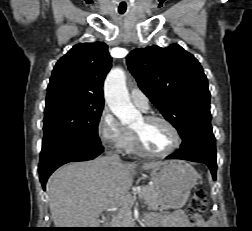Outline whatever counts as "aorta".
<instances>
[{
  "label": "aorta",
  "instance_id": "762f6f07",
  "mask_svg": "<svg viewBox=\"0 0 252 231\" xmlns=\"http://www.w3.org/2000/svg\"><path fill=\"white\" fill-rule=\"evenodd\" d=\"M106 103L123 124H130L139 117L132 105L126 88L125 72L121 68L112 69L104 84Z\"/></svg>",
  "mask_w": 252,
  "mask_h": 231
}]
</instances>
